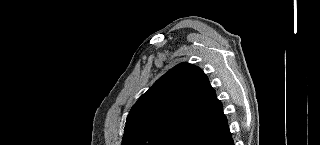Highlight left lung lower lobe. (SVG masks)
<instances>
[{
	"instance_id": "left-lung-lower-lobe-1",
	"label": "left lung lower lobe",
	"mask_w": 320,
	"mask_h": 145,
	"mask_svg": "<svg viewBox=\"0 0 320 145\" xmlns=\"http://www.w3.org/2000/svg\"><path fill=\"white\" fill-rule=\"evenodd\" d=\"M178 145H234L222 104L217 98L209 117L190 130Z\"/></svg>"
}]
</instances>
